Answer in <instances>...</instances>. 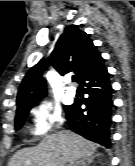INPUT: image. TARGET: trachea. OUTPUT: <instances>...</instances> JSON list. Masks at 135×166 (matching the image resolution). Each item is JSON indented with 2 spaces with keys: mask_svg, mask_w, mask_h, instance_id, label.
I'll list each match as a JSON object with an SVG mask.
<instances>
[{
  "mask_svg": "<svg viewBox=\"0 0 135 166\" xmlns=\"http://www.w3.org/2000/svg\"><path fill=\"white\" fill-rule=\"evenodd\" d=\"M72 81H73V82L76 81V76H72Z\"/></svg>",
  "mask_w": 135,
  "mask_h": 166,
  "instance_id": "1",
  "label": "trachea"
}]
</instances>
